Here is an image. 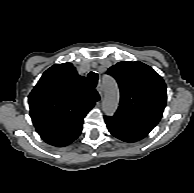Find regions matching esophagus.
<instances>
[{"mask_svg": "<svg viewBox=\"0 0 194 193\" xmlns=\"http://www.w3.org/2000/svg\"><path fill=\"white\" fill-rule=\"evenodd\" d=\"M97 91H98L99 95L102 97V85H101V83L98 84Z\"/></svg>", "mask_w": 194, "mask_h": 193, "instance_id": "34e87169", "label": "esophagus"}]
</instances>
